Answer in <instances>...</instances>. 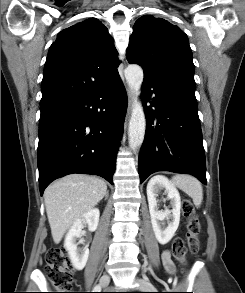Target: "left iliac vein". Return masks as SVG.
I'll return each mask as SVG.
<instances>
[{"label": "left iliac vein", "instance_id": "1", "mask_svg": "<svg viewBox=\"0 0 245 293\" xmlns=\"http://www.w3.org/2000/svg\"><path fill=\"white\" fill-rule=\"evenodd\" d=\"M136 282L138 283V288L141 290H147L148 288H151V289L154 288L152 283L149 281L142 280V279H136Z\"/></svg>", "mask_w": 245, "mask_h": 293}]
</instances>
